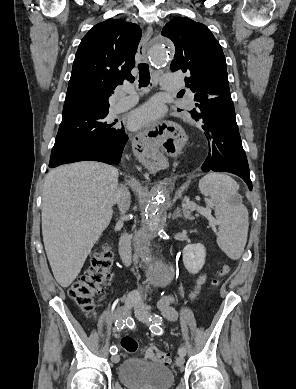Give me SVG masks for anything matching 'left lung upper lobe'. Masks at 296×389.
I'll return each instance as SVG.
<instances>
[{"label": "left lung upper lobe", "instance_id": "obj_1", "mask_svg": "<svg viewBox=\"0 0 296 389\" xmlns=\"http://www.w3.org/2000/svg\"><path fill=\"white\" fill-rule=\"evenodd\" d=\"M162 35L175 45L170 69L186 74V86L194 93L197 109L192 117L202 120V113L224 94H230L226 60L219 42L201 23L176 17L162 29Z\"/></svg>", "mask_w": 296, "mask_h": 389}]
</instances>
